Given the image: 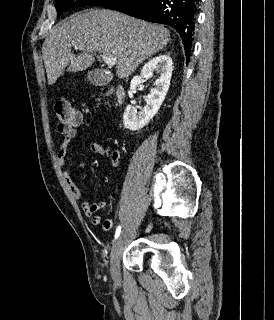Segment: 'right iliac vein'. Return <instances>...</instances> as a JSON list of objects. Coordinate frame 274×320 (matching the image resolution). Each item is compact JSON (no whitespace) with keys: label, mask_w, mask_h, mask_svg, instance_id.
<instances>
[{"label":"right iliac vein","mask_w":274,"mask_h":320,"mask_svg":"<svg viewBox=\"0 0 274 320\" xmlns=\"http://www.w3.org/2000/svg\"><path fill=\"white\" fill-rule=\"evenodd\" d=\"M125 233L117 238L115 243L113 244L111 251V261H110V272L112 279L116 285L120 283V258L123 250Z\"/></svg>","instance_id":"obj_1"}]
</instances>
